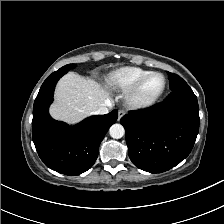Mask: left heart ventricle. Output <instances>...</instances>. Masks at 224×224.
<instances>
[{
  "instance_id": "b2bd125f",
  "label": "left heart ventricle",
  "mask_w": 224,
  "mask_h": 224,
  "mask_svg": "<svg viewBox=\"0 0 224 224\" xmlns=\"http://www.w3.org/2000/svg\"><path fill=\"white\" fill-rule=\"evenodd\" d=\"M164 87V78L161 75H153L141 87L138 97L141 100H149L155 97Z\"/></svg>"
}]
</instances>
